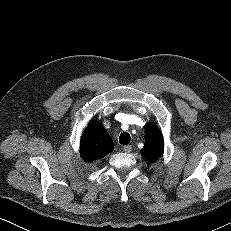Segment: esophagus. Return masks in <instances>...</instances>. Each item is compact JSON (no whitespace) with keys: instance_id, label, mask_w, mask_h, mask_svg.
<instances>
[{"instance_id":"obj_1","label":"esophagus","mask_w":231,"mask_h":231,"mask_svg":"<svg viewBox=\"0 0 231 231\" xmlns=\"http://www.w3.org/2000/svg\"><path fill=\"white\" fill-rule=\"evenodd\" d=\"M123 150L125 153H130L132 151V146L131 145H125L123 147Z\"/></svg>"}]
</instances>
